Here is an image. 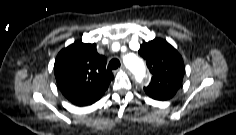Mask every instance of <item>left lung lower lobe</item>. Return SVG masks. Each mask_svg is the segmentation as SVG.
Listing matches in <instances>:
<instances>
[{"label":"left lung lower lobe","mask_w":236,"mask_h":135,"mask_svg":"<svg viewBox=\"0 0 236 135\" xmlns=\"http://www.w3.org/2000/svg\"><path fill=\"white\" fill-rule=\"evenodd\" d=\"M173 95L174 94H172V93H164V94H158V95H154V96H150V97H152L153 99H156V100H168Z\"/></svg>","instance_id":"1"}]
</instances>
